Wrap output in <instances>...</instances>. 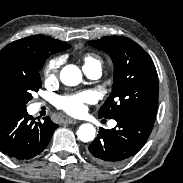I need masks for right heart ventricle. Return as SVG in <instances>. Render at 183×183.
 <instances>
[{
	"label": "right heart ventricle",
	"mask_w": 183,
	"mask_h": 183,
	"mask_svg": "<svg viewBox=\"0 0 183 183\" xmlns=\"http://www.w3.org/2000/svg\"><path fill=\"white\" fill-rule=\"evenodd\" d=\"M95 64H100V61L93 55H86L84 57V67L93 66Z\"/></svg>",
	"instance_id": "obj_1"
}]
</instances>
